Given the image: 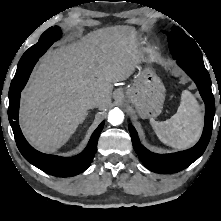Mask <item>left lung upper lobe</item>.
<instances>
[{
    "label": "left lung upper lobe",
    "mask_w": 221,
    "mask_h": 221,
    "mask_svg": "<svg viewBox=\"0 0 221 221\" xmlns=\"http://www.w3.org/2000/svg\"><path fill=\"white\" fill-rule=\"evenodd\" d=\"M167 35L169 48L174 59H182L204 65L202 53L196 42L181 28L175 27L171 32L167 33Z\"/></svg>",
    "instance_id": "5c2ea615"
}]
</instances>
